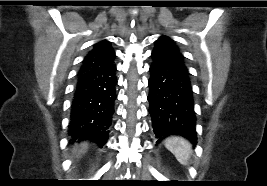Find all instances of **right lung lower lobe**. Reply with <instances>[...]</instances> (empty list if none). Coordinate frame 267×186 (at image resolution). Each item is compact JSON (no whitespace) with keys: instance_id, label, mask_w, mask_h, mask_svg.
I'll list each match as a JSON object with an SVG mask.
<instances>
[{"instance_id":"98d812e1","label":"right lung lower lobe","mask_w":267,"mask_h":186,"mask_svg":"<svg viewBox=\"0 0 267 186\" xmlns=\"http://www.w3.org/2000/svg\"><path fill=\"white\" fill-rule=\"evenodd\" d=\"M116 65L79 71L71 104L69 135L73 140L106 143L116 99Z\"/></svg>"}]
</instances>
